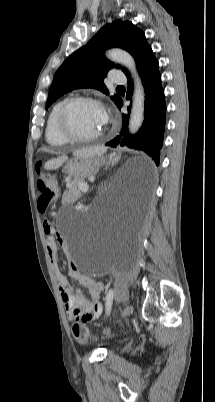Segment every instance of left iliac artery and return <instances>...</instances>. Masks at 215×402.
<instances>
[{
  "instance_id": "44dca946",
  "label": "left iliac artery",
  "mask_w": 215,
  "mask_h": 402,
  "mask_svg": "<svg viewBox=\"0 0 215 402\" xmlns=\"http://www.w3.org/2000/svg\"><path fill=\"white\" fill-rule=\"evenodd\" d=\"M113 298H114V290L110 289L106 295V314L108 315L111 311V307H112V302H113Z\"/></svg>"
}]
</instances>
